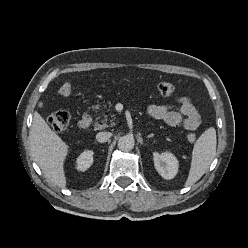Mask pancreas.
I'll list each match as a JSON object with an SVG mask.
<instances>
[{"instance_id":"cf45deb5","label":"pancreas","mask_w":248,"mask_h":248,"mask_svg":"<svg viewBox=\"0 0 248 248\" xmlns=\"http://www.w3.org/2000/svg\"><path fill=\"white\" fill-rule=\"evenodd\" d=\"M106 121H107V116H104V120L102 121V122H104L103 125H101L99 123H95V130H100V129L106 128V124H105Z\"/></svg>"}]
</instances>
